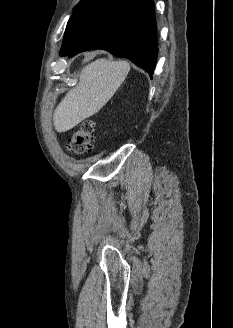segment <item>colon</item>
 Wrapping results in <instances>:
<instances>
[{
	"mask_svg": "<svg viewBox=\"0 0 233 328\" xmlns=\"http://www.w3.org/2000/svg\"><path fill=\"white\" fill-rule=\"evenodd\" d=\"M94 124L90 120H84L78 124L68 136L67 148L70 152L81 154L92 148V134Z\"/></svg>",
	"mask_w": 233,
	"mask_h": 328,
	"instance_id": "5ec220e1",
	"label": "colon"
}]
</instances>
